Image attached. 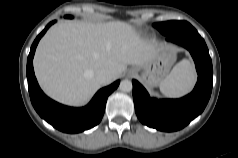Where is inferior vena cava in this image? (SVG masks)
Instances as JSON below:
<instances>
[{
  "instance_id": "obj_1",
  "label": "inferior vena cava",
  "mask_w": 238,
  "mask_h": 158,
  "mask_svg": "<svg viewBox=\"0 0 238 158\" xmlns=\"http://www.w3.org/2000/svg\"><path fill=\"white\" fill-rule=\"evenodd\" d=\"M95 78L101 85H106L111 81L110 71L107 69H100L96 72Z\"/></svg>"
}]
</instances>
